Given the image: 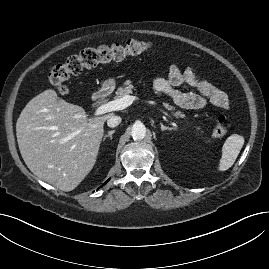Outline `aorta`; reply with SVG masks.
<instances>
[{
    "label": "aorta",
    "mask_w": 269,
    "mask_h": 269,
    "mask_svg": "<svg viewBox=\"0 0 269 269\" xmlns=\"http://www.w3.org/2000/svg\"><path fill=\"white\" fill-rule=\"evenodd\" d=\"M131 135L134 140H142L146 136V127L141 122H136L132 126Z\"/></svg>",
    "instance_id": "1"
}]
</instances>
